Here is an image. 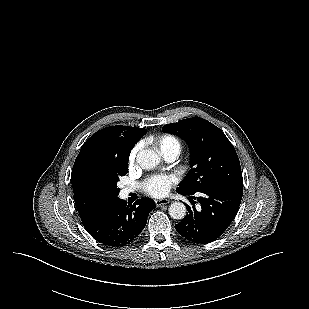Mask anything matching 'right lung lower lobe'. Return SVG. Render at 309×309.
<instances>
[{"instance_id":"obj_1","label":"right lung lower lobe","mask_w":309,"mask_h":309,"mask_svg":"<svg viewBox=\"0 0 309 309\" xmlns=\"http://www.w3.org/2000/svg\"><path fill=\"white\" fill-rule=\"evenodd\" d=\"M156 207L151 199L127 205L120 198L105 201L81 216L88 233L107 247H122L138 237L148 214Z\"/></svg>"}]
</instances>
